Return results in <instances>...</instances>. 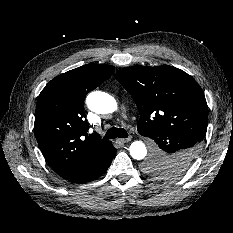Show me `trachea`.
<instances>
[{"instance_id":"trachea-1","label":"trachea","mask_w":233,"mask_h":233,"mask_svg":"<svg viewBox=\"0 0 233 233\" xmlns=\"http://www.w3.org/2000/svg\"><path fill=\"white\" fill-rule=\"evenodd\" d=\"M117 137L118 138H127L128 133L123 128L112 127L106 132L104 139H115Z\"/></svg>"}]
</instances>
